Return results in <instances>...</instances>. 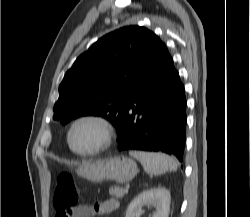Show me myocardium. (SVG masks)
<instances>
[{"label": "myocardium", "instance_id": "obj_1", "mask_svg": "<svg viewBox=\"0 0 250 217\" xmlns=\"http://www.w3.org/2000/svg\"><path fill=\"white\" fill-rule=\"evenodd\" d=\"M83 122L95 123L101 130V139L99 144L95 148L87 151H79L75 149L71 141V135L73 130L75 129L76 126H78ZM113 135H114L113 125L107 118L98 114H84L77 117L71 122L67 130L66 140L70 150L74 154L78 156L89 157V156H95L105 151L111 145L113 140Z\"/></svg>", "mask_w": 250, "mask_h": 217}]
</instances>
